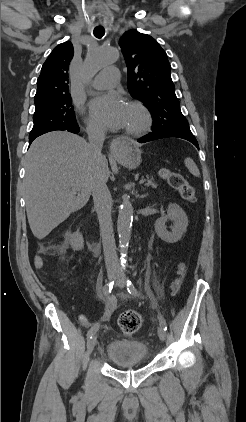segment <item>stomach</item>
<instances>
[{
  "instance_id": "1",
  "label": "stomach",
  "mask_w": 246,
  "mask_h": 422,
  "mask_svg": "<svg viewBox=\"0 0 246 422\" xmlns=\"http://www.w3.org/2000/svg\"><path fill=\"white\" fill-rule=\"evenodd\" d=\"M141 150L132 143H127L117 154L119 162L130 168H137L141 163Z\"/></svg>"
}]
</instances>
